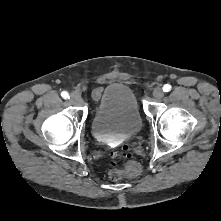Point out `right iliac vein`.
<instances>
[{"mask_svg": "<svg viewBox=\"0 0 221 221\" xmlns=\"http://www.w3.org/2000/svg\"><path fill=\"white\" fill-rule=\"evenodd\" d=\"M70 102L74 105H81L83 103V100L79 94L72 93L70 95Z\"/></svg>", "mask_w": 221, "mask_h": 221, "instance_id": "obj_1", "label": "right iliac vein"}]
</instances>
